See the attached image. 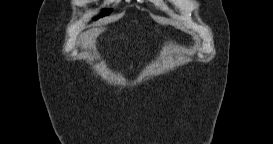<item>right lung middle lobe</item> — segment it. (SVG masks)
<instances>
[{"label":"right lung middle lobe","instance_id":"obj_1","mask_svg":"<svg viewBox=\"0 0 273 144\" xmlns=\"http://www.w3.org/2000/svg\"><path fill=\"white\" fill-rule=\"evenodd\" d=\"M110 12H112V10H107L106 12L100 14V15H99L98 17H96L95 19H98L99 17H103V16H105V15H108V14H110Z\"/></svg>","mask_w":273,"mask_h":144}]
</instances>
